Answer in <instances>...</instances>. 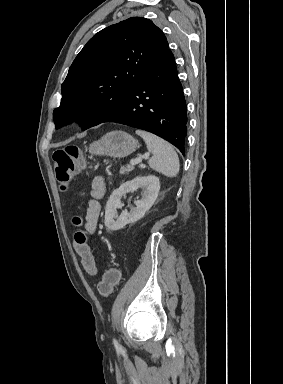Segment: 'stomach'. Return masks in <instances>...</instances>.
<instances>
[{
	"label": "stomach",
	"instance_id": "1",
	"mask_svg": "<svg viewBox=\"0 0 283 384\" xmlns=\"http://www.w3.org/2000/svg\"><path fill=\"white\" fill-rule=\"evenodd\" d=\"M138 148L137 140L126 132H108L97 142L90 144L92 156H111V158H126Z\"/></svg>",
	"mask_w": 283,
	"mask_h": 384
}]
</instances>
